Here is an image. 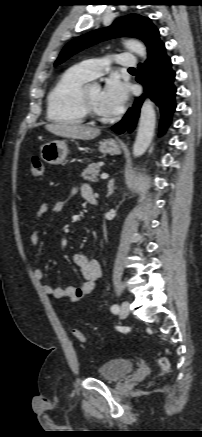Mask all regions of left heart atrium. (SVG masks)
Returning <instances> with one entry per match:
<instances>
[{"label": "left heart atrium", "mask_w": 202, "mask_h": 437, "mask_svg": "<svg viewBox=\"0 0 202 437\" xmlns=\"http://www.w3.org/2000/svg\"><path fill=\"white\" fill-rule=\"evenodd\" d=\"M129 96L128 86L118 78H110L102 91V108L108 115L122 112Z\"/></svg>", "instance_id": "obj_1"}]
</instances>
